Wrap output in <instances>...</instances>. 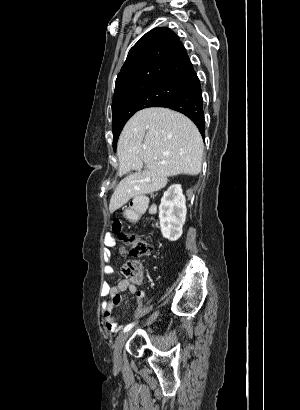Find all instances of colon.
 <instances>
[{
  "instance_id": "obj_1",
  "label": "colon",
  "mask_w": 300,
  "mask_h": 410,
  "mask_svg": "<svg viewBox=\"0 0 300 410\" xmlns=\"http://www.w3.org/2000/svg\"><path fill=\"white\" fill-rule=\"evenodd\" d=\"M117 233L120 240H122L129 247V255L133 261L128 262L123 267V273L128 278H134L139 275L138 259L150 254L151 246L143 235L136 233L124 232L120 225H117Z\"/></svg>"
}]
</instances>
